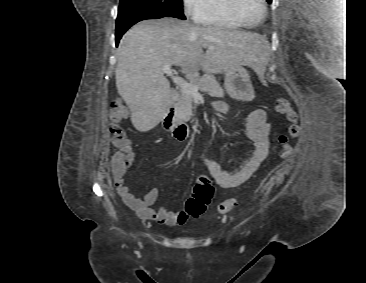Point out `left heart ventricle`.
Returning a JSON list of instances; mask_svg holds the SVG:
<instances>
[{"label":"left heart ventricle","mask_w":366,"mask_h":283,"mask_svg":"<svg viewBox=\"0 0 366 283\" xmlns=\"http://www.w3.org/2000/svg\"><path fill=\"white\" fill-rule=\"evenodd\" d=\"M240 12L243 18L252 24L260 17L262 8L258 0H242Z\"/></svg>","instance_id":"obj_1"}]
</instances>
